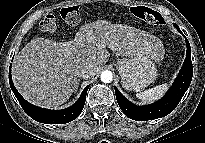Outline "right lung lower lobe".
<instances>
[{"label": "right lung lower lobe", "mask_w": 205, "mask_h": 143, "mask_svg": "<svg viewBox=\"0 0 205 143\" xmlns=\"http://www.w3.org/2000/svg\"><path fill=\"white\" fill-rule=\"evenodd\" d=\"M9 84L23 110L34 120L46 124H65L76 119L83 110L87 90L90 86L84 88L80 98L72 106L62 110H50L32 105L18 93L12 81L11 66L9 68Z\"/></svg>", "instance_id": "1"}]
</instances>
